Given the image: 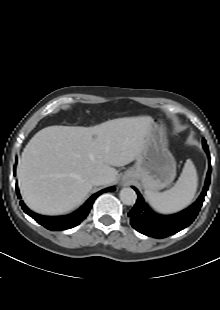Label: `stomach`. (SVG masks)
<instances>
[{
    "label": "stomach",
    "instance_id": "obj_1",
    "mask_svg": "<svg viewBox=\"0 0 220 310\" xmlns=\"http://www.w3.org/2000/svg\"><path fill=\"white\" fill-rule=\"evenodd\" d=\"M176 176V162L167 148L166 127L162 120H153L152 130L136 163L128 169L123 180L140 181L147 191L157 192L168 187Z\"/></svg>",
    "mask_w": 220,
    "mask_h": 310
}]
</instances>
